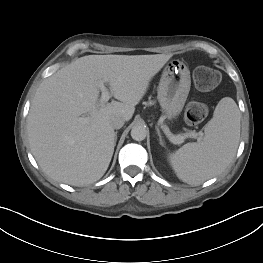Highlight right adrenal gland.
<instances>
[{"instance_id": "right-adrenal-gland-1", "label": "right adrenal gland", "mask_w": 263, "mask_h": 263, "mask_svg": "<svg viewBox=\"0 0 263 263\" xmlns=\"http://www.w3.org/2000/svg\"><path fill=\"white\" fill-rule=\"evenodd\" d=\"M117 139V132H115V140Z\"/></svg>"}]
</instances>
